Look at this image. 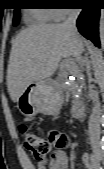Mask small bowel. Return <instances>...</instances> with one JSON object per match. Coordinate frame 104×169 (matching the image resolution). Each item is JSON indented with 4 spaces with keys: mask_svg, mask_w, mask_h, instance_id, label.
I'll use <instances>...</instances> for the list:
<instances>
[{
    "mask_svg": "<svg viewBox=\"0 0 104 169\" xmlns=\"http://www.w3.org/2000/svg\"><path fill=\"white\" fill-rule=\"evenodd\" d=\"M60 135H63V134H60ZM81 162L87 169H92V160L88 154L85 153L81 156ZM37 168L38 169H67L68 168L67 151L60 147L54 149L51 152L48 163L47 164L39 163Z\"/></svg>",
    "mask_w": 104,
    "mask_h": 169,
    "instance_id": "1",
    "label": "small bowel"
}]
</instances>
